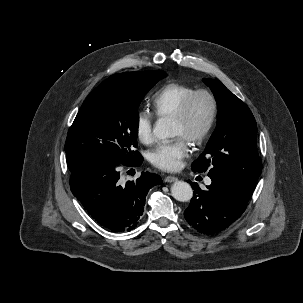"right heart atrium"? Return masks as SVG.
<instances>
[{
    "instance_id": "right-heart-atrium-1",
    "label": "right heart atrium",
    "mask_w": 303,
    "mask_h": 303,
    "mask_svg": "<svg viewBox=\"0 0 303 303\" xmlns=\"http://www.w3.org/2000/svg\"><path fill=\"white\" fill-rule=\"evenodd\" d=\"M135 133L143 144H150L154 139L153 120L149 113L139 112L135 120Z\"/></svg>"
}]
</instances>
